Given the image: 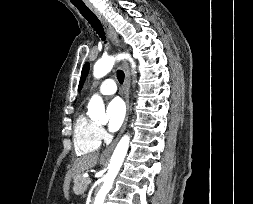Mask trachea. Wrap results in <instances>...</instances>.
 I'll return each instance as SVG.
<instances>
[{"mask_svg": "<svg viewBox=\"0 0 253 204\" xmlns=\"http://www.w3.org/2000/svg\"><path fill=\"white\" fill-rule=\"evenodd\" d=\"M79 12L82 14V16L90 23L92 28L96 31V33L99 35L100 38H102L103 41L106 40L104 29L99 21V19L96 17V15L85 5H75ZM124 72L122 70L117 71V78L118 81L122 84L124 81Z\"/></svg>", "mask_w": 253, "mask_h": 204, "instance_id": "1", "label": "trachea"}]
</instances>
